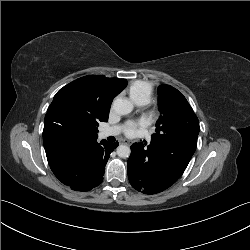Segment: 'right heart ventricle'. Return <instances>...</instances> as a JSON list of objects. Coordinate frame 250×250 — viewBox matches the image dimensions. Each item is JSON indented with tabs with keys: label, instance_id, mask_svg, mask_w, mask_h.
<instances>
[{
	"label": "right heart ventricle",
	"instance_id": "obj_1",
	"mask_svg": "<svg viewBox=\"0 0 250 250\" xmlns=\"http://www.w3.org/2000/svg\"><path fill=\"white\" fill-rule=\"evenodd\" d=\"M130 98L135 102L148 103L152 97L153 85L150 82L137 80L128 87Z\"/></svg>",
	"mask_w": 250,
	"mask_h": 250
}]
</instances>
